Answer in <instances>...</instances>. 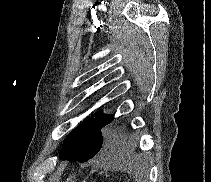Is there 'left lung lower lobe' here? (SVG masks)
Masks as SVG:
<instances>
[{
  "mask_svg": "<svg viewBox=\"0 0 211 182\" xmlns=\"http://www.w3.org/2000/svg\"><path fill=\"white\" fill-rule=\"evenodd\" d=\"M116 140V142L118 143V144H122L123 143V141L119 138H117V139H115Z\"/></svg>",
  "mask_w": 211,
  "mask_h": 182,
  "instance_id": "left-lung-lower-lobe-1",
  "label": "left lung lower lobe"
}]
</instances>
